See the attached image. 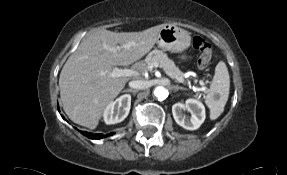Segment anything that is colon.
Segmentation results:
<instances>
[{
    "mask_svg": "<svg viewBox=\"0 0 287 175\" xmlns=\"http://www.w3.org/2000/svg\"><path fill=\"white\" fill-rule=\"evenodd\" d=\"M192 46L200 53L197 62L198 67L202 70L206 69L210 64L212 57L210 44L204 38L195 36L192 40Z\"/></svg>",
    "mask_w": 287,
    "mask_h": 175,
    "instance_id": "obj_1",
    "label": "colon"
}]
</instances>
